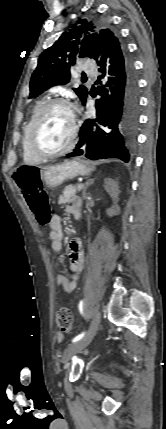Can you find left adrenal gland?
Returning a JSON list of instances; mask_svg holds the SVG:
<instances>
[{"label": "left adrenal gland", "instance_id": "a2214340", "mask_svg": "<svg viewBox=\"0 0 166 429\" xmlns=\"http://www.w3.org/2000/svg\"><path fill=\"white\" fill-rule=\"evenodd\" d=\"M93 182H94V179H91V180H87L86 181V184H85V187H84V189H83V199H86V190H87V188L91 185V184H93Z\"/></svg>", "mask_w": 166, "mask_h": 429}]
</instances>
